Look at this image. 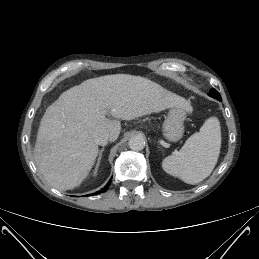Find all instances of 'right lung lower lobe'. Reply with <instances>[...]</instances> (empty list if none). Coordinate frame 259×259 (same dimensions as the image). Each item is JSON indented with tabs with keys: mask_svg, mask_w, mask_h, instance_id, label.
Instances as JSON below:
<instances>
[{
	"mask_svg": "<svg viewBox=\"0 0 259 259\" xmlns=\"http://www.w3.org/2000/svg\"><path fill=\"white\" fill-rule=\"evenodd\" d=\"M110 183H111V180L108 182V184H107L102 190L99 191V193L105 192V191L108 189ZM97 193H98V192H97Z\"/></svg>",
	"mask_w": 259,
	"mask_h": 259,
	"instance_id": "1",
	"label": "right lung lower lobe"
}]
</instances>
